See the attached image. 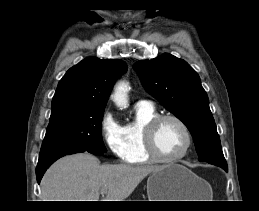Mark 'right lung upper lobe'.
<instances>
[{
    "instance_id": "obj_1",
    "label": "right lung upper lobe",
    "mask_w": 259,
    "mask_h": 211,
    "mask_svg": "<svg viewBox=\"0 0 259 211\" xmlns=\"http://www.w3.org/2000/svg\"><path fill=\"white\" fill-rule=\"evenodd\" d=\"M126 70L127 65L118 59L89 57L82 60L59 82L50 117L76 108H105L114 82Z\"/></svg>"
}]
</instances>
